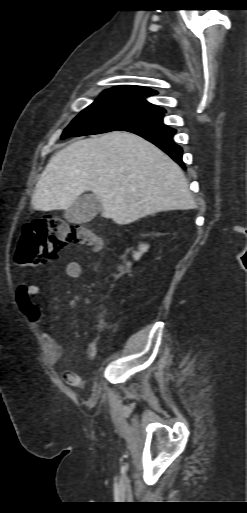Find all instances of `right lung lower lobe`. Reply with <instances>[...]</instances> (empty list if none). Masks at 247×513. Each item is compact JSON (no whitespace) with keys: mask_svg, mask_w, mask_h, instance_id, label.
I'll use <instances>...</instances> for the list:
<instances>
[{"mask_svg":"<svg viewBox=\"0 0 247 513\" xmlns=\"http://www.w3.org/2000/svg\"><path fill=\"white\" fill-rule=\"evenodd\" d=\"M121 130L135 133L152 142L185 169L182 148L173 141L176 130L163 123V116L125 126Z\"/></svg>","mask_w":247,"mask_h":513,"instance_id":"98d812e1","label":"right lung lower lobe"}]
</instances>
